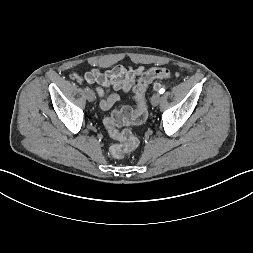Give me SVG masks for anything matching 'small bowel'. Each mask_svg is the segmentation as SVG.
<instances>
[{
  "mask_svg": "<svg viewBox=\"0 0 253 253\" xmlns=\"http://www.w3.org/2000/svg\"><path fill=\"white\" fill-rule=\"evenodd\" d=\"M143 71V66L132 68L130 66L116 65L106 72H100L98 69H91L83 76L73 74V77L79 81L98 84L97 91L101 97L100 106L102 109L108 110L118 102L119 96L113 92L105 97L104 87H110L114 91L128 92Z\"/></svg>",
  "mask_w": 253,
  "mask_h": 253,
  "instance_id": "obj_1",
  "label": "small bowel"
}]
</instances>
